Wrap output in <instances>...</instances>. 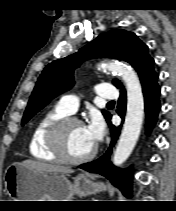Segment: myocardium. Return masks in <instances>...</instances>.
<instances>
[{
	"label": "myocardium",
	"instance_id": "obj_1",
	"mask_svg": "<svg viewBox=\"0 0 176 211\" xmlns=\"http://www.w3.org/2000/svg\"><path fill=\"white\" fill-rule=\"evenodd\" d=\"M72 124L83 125V122L71 115L64 116L55 121L48 129L47 132V144L51 152L57 156L60 161L70 164H81L92 159L97 153V146L89 151L87 154L80 157L71 156L65 148L64 134L68 126Z\"/></svg>",
	"mask_w": 176,
	"mask_h": 211
}]
</instances>
